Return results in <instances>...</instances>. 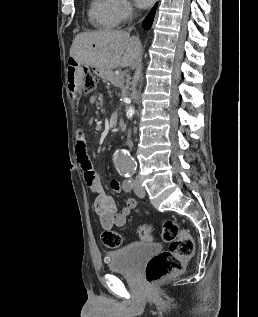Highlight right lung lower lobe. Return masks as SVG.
Here are the masks:
<instances>
[{
    "label": "right lung lower lobe",
    "instance_id": "right-lung-lower-lobe-1",
    "mask_svg": "<svg viewBox=\"0 0 258 317\" xmlns=\"http://www.w3.org/2000/svg\"><path fill=\"white\" fill-rule=\"evenodd\" d=\"M157 5L153 7V9L150 11V13L146 16V18L143 20L142 26L144 29L148 30L151 28V25L153 23L155 11H156Z\"/></svg>",
    "mask_w": 258,
    "mask_h": 317
}]
</instances>
